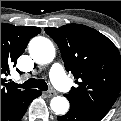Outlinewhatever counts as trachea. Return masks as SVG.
<instances>
[{
	"label": "trachea",
	"mask_w": 121,
	"mask_h": 121,
	"mask_svg": "<svg viewBox=\"0 0 121 121\" xmlns=\"http://www.w3.org/2000/svg\"><path fill=\"white\" fill-rule=\"evenodd\" d=\"M12 86L25 88V89L38 88L42 91L48 90V85L43 79H35V78H31V79L27 80L26 82H24L23 84H16V83L12 82Z\"/></svg>",
	"instance_id": "1"
}]
</instances>
